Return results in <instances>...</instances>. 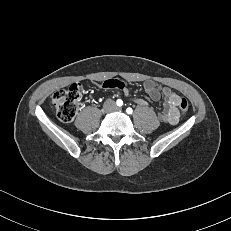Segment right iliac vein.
I'll use <instances>...</instances> for the list:
<instances>
[{
    "mask_svg": "<svg viewBox=\"0 0 231 231\" xmlns=\"http://www.w3.org/2000/svg\"><path fill=\"white\" fill-rule=\"evenodd\" d=\"M111 109H112L111 103H107V104L104 106V111H105V112H109V111H111Z\"/></svg>",
    "mask_w": 231,
    "mask_h": 231,
    "instance_id": "1",
    "label": "right iliac vein"
}]
</instances>
